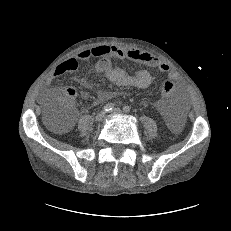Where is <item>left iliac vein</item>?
I'll return each mask as SVG.
<instances>
[{
    "label": "left iliac vein",
    "mask_w": 231,
    "mask_h": 231,
    "mask_svg": "<svg viewBox=\"0 0 231 231\" xmlns=\"http://www.w3.org/2000/svg\"><path fill=\"white\" fill-rule=\"evenodd\" d=\"M112 114H122V111L119 108H115L113 111H111Z\"/></svg>",
    "instance_id": "obj_1"
}]
</instances>
